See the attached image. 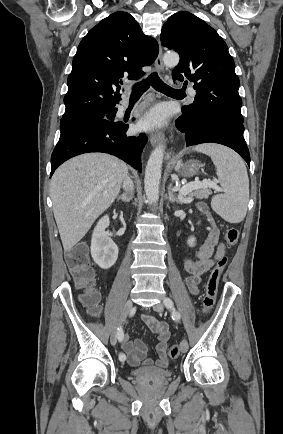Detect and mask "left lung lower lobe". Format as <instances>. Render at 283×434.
<instances>
[{"mask_svg": "<svg viewBox=\"0 0 283 434\" xmlns=\"http://www.w3.org/2000/svg\"><path fill=\"white\" fill-rule=\"evenodd\" d=\"M176 125L185 134L187 146L209 142L222 144L235 150L250 167V154L243 136L242 122L223 115H211L190 125V121L181 116Z\"/></svg>", "mask_w": 283, "mask_h": 434, "instance_id": "obj_1", "label": "left lung lower lobe"}]
</instances>
